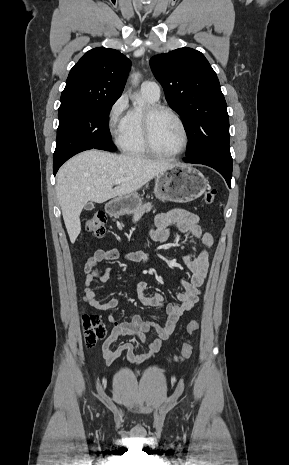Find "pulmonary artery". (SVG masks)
I'll return each mask as SVG.
<instances>
[{"mask_svg":"<svg viewBox=\"0 0 289 465\" xmlns=\"http://www.w3.org/2000/svg\"><path fill=\"white\" fill-rule=\"evenodd\" d=\"M142 92L147 94L150 98L157 101L160 97V87L154 81H145L141 86Z\"/></svg>","mask_w":289,"mask_h":465,"instance_id":"obj_1","label":"pulmonary artery"}]
</instances>
